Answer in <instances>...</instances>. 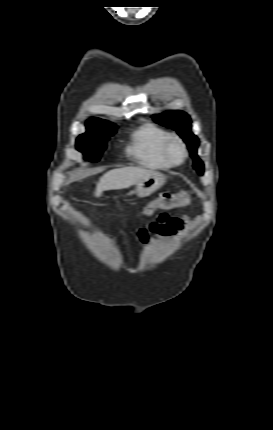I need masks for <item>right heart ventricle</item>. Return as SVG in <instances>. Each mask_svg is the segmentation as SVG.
Listing matches in <instances>:
<instances>
[{"mask_svg":"<svg viewBox=\"0 0 273 430\" xmlns=\"http://www.w3.org/2000/svg\"><path fill=\"white\" fill-rule=\"evenodd\" d=\"M170 135L156 124L146 122L132 133L128 152L144 167L169 169L172 165L164 158L162 147Z\"/></svg>","mask_w":273,"mask_h":430,"instance_id":"1","label":"right heart ventricle"}]
</instances>
